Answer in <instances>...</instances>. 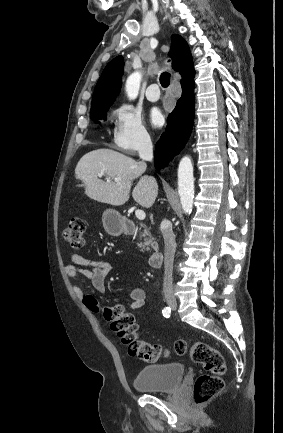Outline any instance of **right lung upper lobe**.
Returning <instances> with one entry per match:
<instances>
[{"label":"right lung upper lobe","instance_id":"obj_1","mask_svg":"<svg viewBox=\"0 0 283 433\" xmlns=\"http://www.w3.org/2000/svg\"><path fill=\"white\" fill-rule=\"evenodd\" d=\"M169 55L172 58V68L182 75V81L194 76L195 71L189 46L180 35H172ZM123 66V57L117 56L105 67L95 87L91 112L112 105L120 93Z\"/></svg>","mask_w":283,"mask_h":433}]
</instances>
